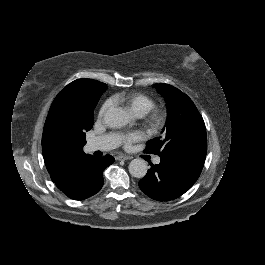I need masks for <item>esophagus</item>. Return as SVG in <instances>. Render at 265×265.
<instances>
[{"instance_id":"obj_1","label":"esophagus","mask_w":265,"mask_h":265,"mask_svg":"<svg viewBox=\"0 0 265 265\" xmlns=\"http://www.w3.org/2000/svg\"><path fill=\"white\" fill-rule=\"evenodd\" d=\"M116 160H119V161H124V160H130L132 159L131 156H126V155H117L115 157Z\"/></svg>"}]
</instances>
